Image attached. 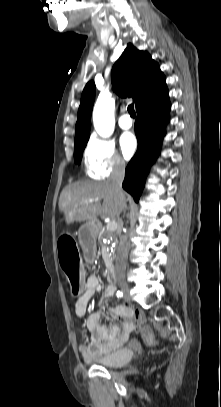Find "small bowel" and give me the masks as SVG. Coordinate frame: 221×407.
<instances>
[{
	"mask_svg": "<svg viewBox=\"0 0 221 407\" xmlns=\"http://www.w3.org/2000/svg\"><path fill=\"white\" fill-rule=\"evenodd\" d=\"M98 289V277L95 275L89 276L85 281V290L75 304L77 317L86 320V325L91 335L90 341L85 343L86 331H82L79 352L85 359L104 355L119 348L129 339L130 333L134 332L144 320L143 313L140 310L119 305L110 308V316L115 322L111 323L109 328L102 325V310L88 315L89 301ZM115 292L116 287L113 284L108 285L105 290L104 299L108 300Z\"/></svg>",
	"mask_w": 221,
	"mask_h": 407,
	"instance_id": "c3829d8e",
	"label": "small bowel"
}]
</instances>
